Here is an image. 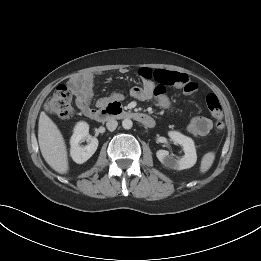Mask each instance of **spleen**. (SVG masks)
<instances>
[{"mask_svg": "<svg viewBox=\"0 0 261 261\" xmlns=\"http://www.w3.org/2000/svg\"><path fill=\"white\" fill-rule=\"evenodd\" d=\"M214 160H215V153L214 152L206 153L202 157V160H201L200 172L206 173L211 168Z\"/></svg>", "mask_w": 261, "mask_h": 261, "instance_id": "1", "label": "spleen"}]
</instances>
